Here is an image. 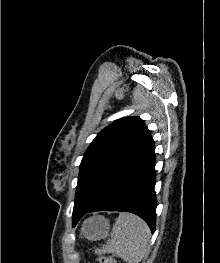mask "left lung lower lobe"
<instances>
[{"label":"left lung lower lobe","mask_w":220,"mask_h":263,"mask_svg":"<svg viewBox=\"0 0 220 263\" xmlns=\"http://www.w3.org/2000/svg\"><path fill=\"white\" fill-rule=\"evenodd\" d=\"M155 147L139 157L96 201L82 211L73 210V227L88 212L125 211L143 218L155 231Z\"/></svg>","instance_id":"1"}]
</instances>
